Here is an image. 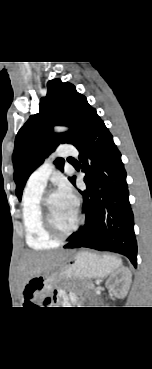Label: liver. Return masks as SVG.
<instances>
[{"mask_svg": "<svg viewBox=\"0 0 152 369\" xmlns=\"http://www.w3.org/2000/svg\"><path fill=\"white\" fill-rule=\"evenodd\" d=\"M62 260V254L26 252L21 259V273L23 284L30 278L43 274Z\"/></svg>", "mask_w": 152, "mask_h": 369, "instance_id": "1", "label": "liver"}]
</instances>
